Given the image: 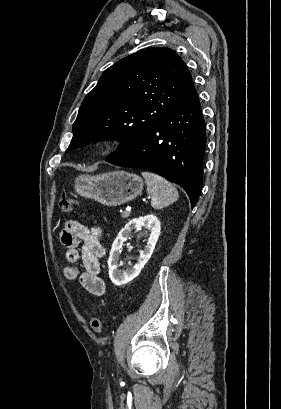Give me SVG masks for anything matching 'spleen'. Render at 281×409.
<instances>
[{
    "label": "spleen",
    "instance_id": "1",
    "mask_svg": "<svg viewBox=\"0 0 281 409\" xmlns=\"http://www.w3.org/2000/svg\"><path fill=\"white\" fill-rule=\"evenodd\" d=\"M141 174L145 178L153 209H164V207H168V205H172V202L178 200L179 194L171 182H168L159 174H154V172H141Z\"/></svg>",
    "mask_w": 281,
    "mask_h": 409
}]
</instances>
